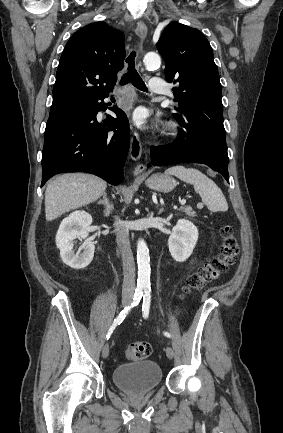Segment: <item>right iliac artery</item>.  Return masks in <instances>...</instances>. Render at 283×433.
<instances>
[{"label":"right iliac artery","mask_w":283,"mask_h":433,"mask_svg":"<svg viewBox=\"0 0 283 433\" xmlns=\"http://www.w3.org/2000/svg\"><path fill=\"white\" fill-rule=\"evenodd\" d=\"M143 295V287H138L135 290V294H134V298H133V302L131 303V305L125 307L120 314L117 316V318L114 319L113 324L110 326L107 334H106V339L108 340L111 336V334L113 333L114 329L116 328L117 325H120V323L123 322V320L125 319L126 315L129 313V311L136 305L139 304L141 298Z\"/></svg>","instance_id":"1"}]
</instances>
